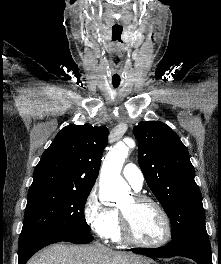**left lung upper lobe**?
<instances>
[{"label":"left lung upper lobe","instance_id":"obj_1","mask_svg":"<svg viewBox=\"0 0 221 264\" xmlns=\"http://www.w3.org/2000/svg\"><path fill=\"white\" fill-rule=\"evenodd\" d=\"M138 160L148 186L170 218L172 239L206 233L202 196L187 148L165 123L147 121L133 128Z\"/></svg>","mask_w":221,"mask_h":264}]
</instances>
